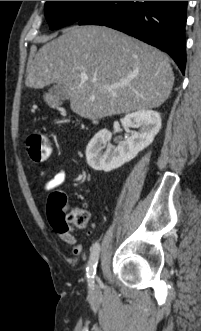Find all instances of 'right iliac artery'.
<instances>
[{"instance_id": "obj_1", "label": "right iliac artery", "mask_w": 201, "mask_h": 331, "mask_svg": "<svg viewBox=\"0 0 201 331\" xmlns=\"http://www.w3.org/2000/svg\"><path fill=\"white\" fill-rule=\"evenodd\" d=\"M90 259L87 267V279L90 287L94 286V275L96 273V266L99 258L100 245L99 243H94L91 247Z\"/></svg>"}]
</instances>
